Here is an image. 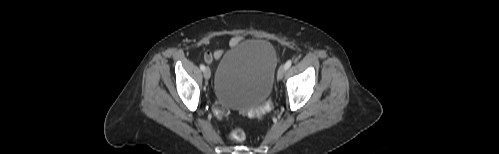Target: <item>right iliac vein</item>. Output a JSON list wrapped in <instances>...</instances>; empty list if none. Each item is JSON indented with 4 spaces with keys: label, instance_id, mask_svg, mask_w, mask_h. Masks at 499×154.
Masks as SVG:
<instances>
[{
    "label": "right iliac vein",
    "instance_id": "obj_1",
    "mask_svg": "<svg viewBox=\"0 0 499 154\" xmlns=\"http://www.w3.org/2000/svg\"><path fill=\"white\" fill-rule=\"evenodd\" d=\"M203 74H204V78H205L206 80H209V79H210V76H211V71H210L209 67H206V68L204 69Z\"/></svg>",
    "mask_w": 499,
    "mask_h": 154
}]
</instances>
